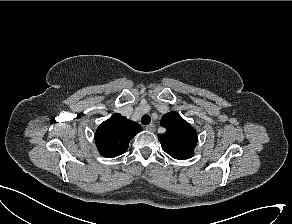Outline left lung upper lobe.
<instances>
[{
    "label": "left lung upper lobe",
    "mask_w": 292,
    "mask_h": 224,
    "mask_svg": "<svg viewBox=\"0 0 292 224\" xmlns=\"http://www.w3.org/2000/svg\"><path fill=\"white\" fill-rule=\"evenodd\" d=\"M161 125L166 128V133L158 136L162 149L178 160L191 158L197 144L195 129L175 111L165 114Z\"/></svg>",
    "instance_id": "1"
}]
</instances>
